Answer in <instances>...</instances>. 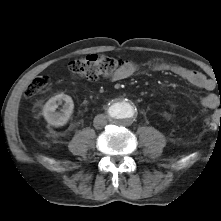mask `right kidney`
Here are the masks:
<instances>
[{"mask_svg":"<svg viewBox=\"0 0 221 221\" xmlns=\"http://www.w3.org/2000/svg\"><path fill=\"white\" fill-rule=\"evenodd\" d=\"M65 102L63 109L60 112H56V109L62 102ZM74 109V103L69 95L64 93L58 94L50 98L43 108V116L45 120L52 126L60 127L64 126L70 119Z\"/></svg>","mask_w":221,"mask_h":221,"instance_id":"ca27d5eb","label":"right kidney"}]
</instances>
